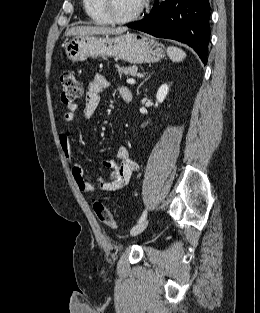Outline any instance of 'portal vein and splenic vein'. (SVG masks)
<instances>
[{
	"label": "portal vein and splenic vein",
	"mask_w": 260,
	"mask_h": 313,
	"mask_svg": "<svg viewBox=\"0 0 260 313\" xmlns=\"http://www.w3.org/2000/svg\"><path fill=\"white\" fill-rule=\"evenodd\" d=\"M126 82L128 84H134L135 83V80L133 78H130V79H127Z\"/></svg>",
	"instance_id": "1"
}]
</instances>
